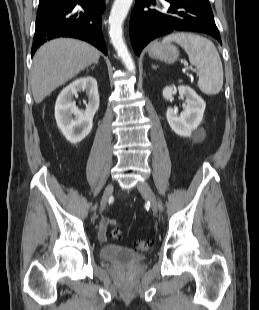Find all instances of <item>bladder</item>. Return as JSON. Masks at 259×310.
<instances>
[{"label":"bladder","instance_id":"1","mask_svg":"<svg viewBox=\"0 0 259 310\" xmlns=\"http://www.w3.org/2000/svg\"><path fill=\"white\" fill-rule=\"evenodd\" d=\"M99 256L103 261L121 265L139 263L145 260L144 255L115 244L104 245L100 249Z\"/></svg>","mask_w":259,"mask_h":310}]
</instances>
